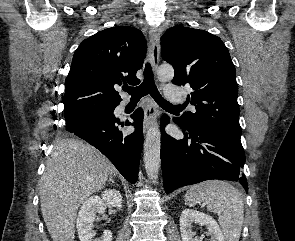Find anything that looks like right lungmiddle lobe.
Wrapping results in <instances>:
<instances>
[{"label":"right lung middle lobe","mask_w":295,"mask_h":241,"mask_svg":"<svg viewBox=\"0 0 295 241\" xmlns=\"http://www.w3.org/2000/svg\"><path fill=\"white\" fill-rule=\"evenodd\" d=\"M116 106L117 105L98 106V107L86 108V109L79 110L76 112L66 113L65 119H66V121H70V120L75 119L76 117H79V116L85 115V114L99 113V112H104V111H113V109Z\"/></svg>","instance_id":"obj_1"}]
</instances>
